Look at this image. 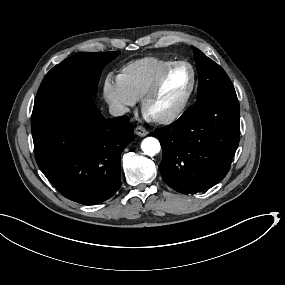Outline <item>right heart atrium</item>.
Instances as JSON below:
<instances>
[{
	"label": "right heart atrium",
	"mask_w": 285,
	"mask_h": 285,
	"mask_svg": "<svg viewBox=\"0 0 285 285\" xmlns=\"http://www.w3.org/2000/svg\"><path fill=\"white\" fill-rule=\"evenodd\" d=\"M103 96L109 107L117 114H126L137 99L118 81L113 72H108L102 83Z\"/></svg>",
	"instance_id": "1"
}]
</instances>
